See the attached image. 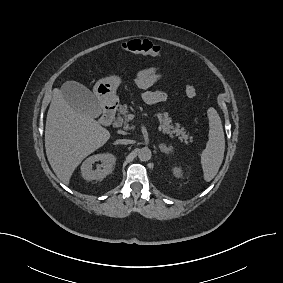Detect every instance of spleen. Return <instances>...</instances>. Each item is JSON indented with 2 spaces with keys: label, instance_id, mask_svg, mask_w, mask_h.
<instances>
[{
  "label": "spleen",
  "instance_id": "3e777b00",
  "mask_svg": "<svg viewBox=\"0 0 283 283\" xmlns=\"http://www.w3.org/2000/svg\"><path fill=\"white\" fill-rule=\"evenodd\" d=\"M209 134L206 148L201 153V164L205 181H211L222 164L225 151V138L219 114L214 107L207 111Z\"/></svg>",
  "mask_w": 283,
  "mask_h": 283
}]
</instances>
